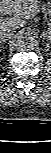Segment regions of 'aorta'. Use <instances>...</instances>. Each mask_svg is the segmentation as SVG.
<instances>
[{"label":"aorta","instance_id":"1","mask_svg":"<svg viewBox=\"0 0 51 153\" xmlns=\"http://www.w3.org/2000/svg\"><path fill=\"white\" fill-rule=\"evenodd\" d=\"M35 37L29 33L19 35L15 41L16 49L19 51H29L35 47Z\"/></svg>","mask_w":51,"mask_h":153}]
</instances>
